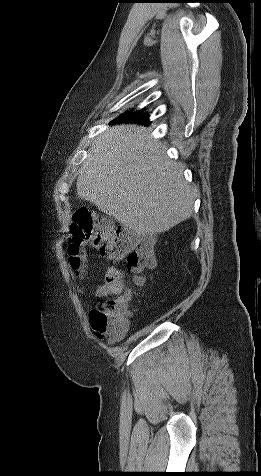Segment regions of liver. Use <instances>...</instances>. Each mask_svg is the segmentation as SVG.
<instances>
[{
    "label": "liver",
    "mask_w": 261,
    "mask_h": 476,
    "mask_svg": "<svg viewBox=\"0 0 261 476\" xmlns=\"http://www.w3.org/2000/svg\"><path fill=\"white\" fill-rule=\"evenodd\" d=\"M165 154L145 127L117 125L90 148L77 194L138 235L165 232L191 217L196 196L181 166Z\"/></svg>",
    "instance_id": "obj_1"
}]
</instances>
